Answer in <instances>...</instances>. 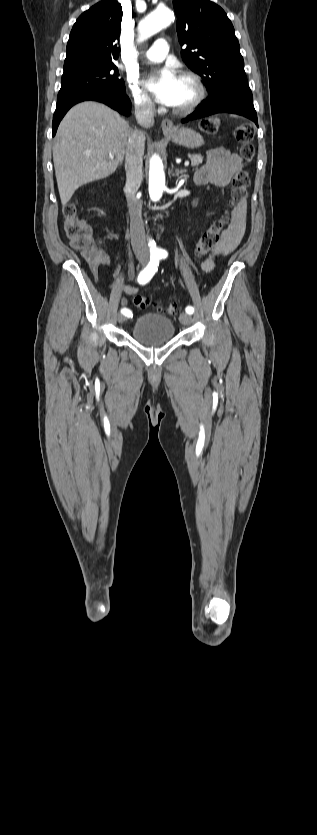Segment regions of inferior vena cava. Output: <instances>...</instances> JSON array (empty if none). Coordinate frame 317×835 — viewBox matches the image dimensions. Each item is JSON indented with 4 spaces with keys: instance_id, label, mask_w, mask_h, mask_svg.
I'll list each match as a JSON object with an SVG mask.
<instances>
[{
    "instance_id": "602c4592",
    "label": "inferior vena cava",
    "mask_w": 317,
    "mask_h": 835,
    "mask_svg": "<svg viewBox=\"0 0 317 835\" xmlns=\"http://www.w3.org/2000/svg\"><path fill=\"white\" fill-rule=\"evenodd\" d=\"M155 113V105L150 99L135 103V117L142 127L153 126ZM144 147L145 134L141 130L132 129L126 145L125 188L130 216L131 244L136 257L141 260H147L149 256L142 220V203L136 198V192L142 181Z\"/></svg>"
}]
</instances>
